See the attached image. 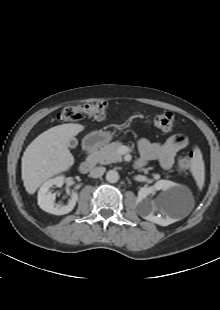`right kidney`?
<instances>
[{
  "instance_id": "1",
  "label": "right kidney",
  "mask_w": 220,
  "mask_h": 310,
  "mask_svg": "<svg viewBox=\"0 0 220 310\" xmlns=\"http://www.w3.org/2000/svg\"><path fill=\"white\" fill-rule=\"evenodd\" d=\"M64 176H57L55 178L49 179L43 183L38 191V205L40 208L48 213L54 215H64L71 212L78 200V194L72 193L71 198L68 201V204L65 206H54L55 194L51 193L49 189L52 186L61 187L64 184Z\"/></svg>"
}]
</instances>
